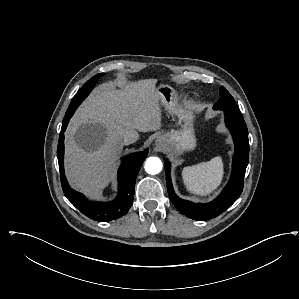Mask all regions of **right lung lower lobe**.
<instances>
[{"mask_svg": "<svg viewBox=\"0 0 299 299\" xmlns=\"http://www.w3.org/2000/svg\"><path fill=\"white\" fill-rule=\"evenodd\" d=\"M76 109L77 107L67 110L62 122L57 147V157L64 195L80 212L92 220H115L125 215L133 202L136 177L142 163L148 155V149H145L143 152L129 154L122 159L121 166L118 170V195L115 200L111 202L88 201L83 194L70 188L64 174V131Z\"/></svg>", "mask_w": 299, "mask_h": 299, "instance_id": "obj_1", "label": "right lung lower lobe"}]
</instances>
